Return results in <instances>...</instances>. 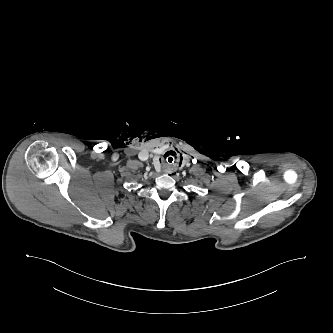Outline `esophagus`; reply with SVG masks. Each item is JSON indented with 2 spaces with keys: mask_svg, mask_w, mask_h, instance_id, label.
<instances>
[{
  "mask_svg": "<svg viewBox=\"0 0 333 333\" xmlns=\"http://www.w3.org/2000/svg\"><path fill=\"white\" fill-rule=\"evenodd\" d=\"M165 172L167 174H172L174 172V169L173 168H167V169H165Z\"/></svg>",
  "mask_w": 333,
  "mask_h": 333,
  "instance_id": "esophagus-1",
  "label": "esophagus"
}]
</instances>
